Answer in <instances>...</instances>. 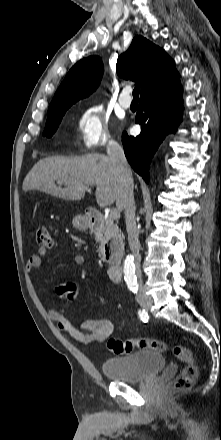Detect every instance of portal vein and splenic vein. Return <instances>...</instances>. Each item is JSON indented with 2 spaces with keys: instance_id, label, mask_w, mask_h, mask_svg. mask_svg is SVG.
<instances>
[{
  "instance_id": "portal-vein-and-splenic-vein-1",
  "label": "portal vein and splenic vein",
  "mask_w": 221,
  "mask_h": 440,
  "mask_svg": "<svg viewBox=\"0 0 221 440\" xmlns=\"http://www.w3.org/2000/svg\"><path fill=\"white\" fill-rule=\"evenodd\" d=\"M83 189H85V190H87V191H90V188L87 187V186L83 187ZM109 218L112 219V220H117V219H119V218H120V211H119L118 209H112V210L110 211Z\"/></svg>"
}]
</instances>
